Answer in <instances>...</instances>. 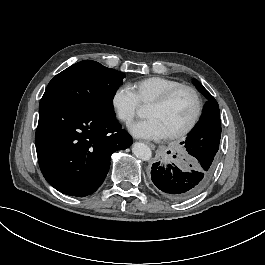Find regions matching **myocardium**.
I'll list each match as a JSON object with an SVG mask.
<instances>
[{
    "instance_id": "f54148a6",
    "label": "myocardium",
    "mask_w": 265,
    "mask_h": 265,
    "mask_svg": "<svg viewBox=\"0 0 265 265\" xmlns=\"http://www.w3.org/2000/svg\"><path fill=\"white\" fill-rule=\"evenodd\" d=\"M182 92H187L193 97L194 103H195V111H194V114L192 116L191 121L188 123L187 126H185L180 131H177V132L171 133V134H167L165 136L167 139H170V140L180 139V138L185 137L195 128L198 121L200 120L201 115H202V111H203V105H202V100H201V97H200L198 91L191 86L182 85V86H179L177 88L170 90L169 92H167L166 94H164L163 96H161L159 99H157L153 103L149 104V106H148V107H153V108H163L175 96H177L178 94H180Z\"/></svg>"
}]
</instances>
